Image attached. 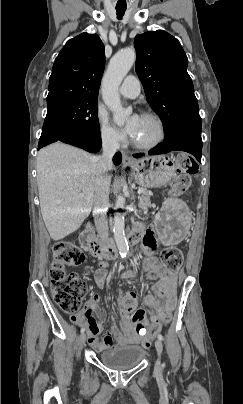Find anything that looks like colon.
<instances>
[{
  "label": "colon",
  "mask_w": 243,
  "mask_h": 404,
  "mask_svg": "<svg viewBox=\"0 0 243 404\" xmlns=\"http://www.w3.org/2000/svg\"><path fill=\"white\" fill-rule=\"evenodd\" d=\"M177 175L173 180L171 195L180 196L185 193L192 182V176L198 172L196 162L187 154H180L176 160ZM161 262L168 274H175L183 262L182 252L173 247L165 248L160 253ZM85 262L83 251L70 243H56L53 248V262L50 268V289L56 304L65 312H78L81 300L86 294L85 283L75 273L67 272L70 267H77ZM151 279L157 277L156 272L149 274ZM119 306L123 316H129L137 309V296L128 292L119 299ZM170 317L166 316L165 320ZM147 347L149 341L143 342Z\"/></svg>",
  "instance_id": "colon-1"
}]
</instances>
